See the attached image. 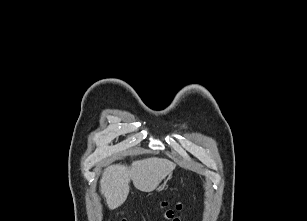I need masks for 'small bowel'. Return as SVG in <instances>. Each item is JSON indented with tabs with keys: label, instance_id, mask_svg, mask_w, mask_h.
<instances>
[{
	"label": "small bowel",
	"instance_id": "small-bowel-1",
	"mask_svg": "<svg viewBox=\"0 0 307 221\" xmlns=\"http://www.w3.org/2000/svg\"><path fill=\"white\" fill-rule=\"evenodd\" d=\"M170 219L172 221H181V219L179 217H176V216H172V217H170Z\"/></svg>",
	"mask_w": 307,
	"mask_h": 221
}]
</instances>
